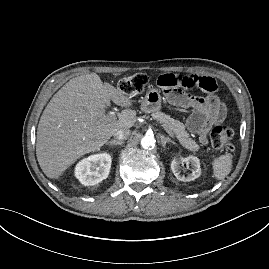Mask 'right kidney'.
<instances>
[{"label":"right kidney","instance_id":"obj_1","mask_svg":"<svg viewBox=\"0 0 269 269\" xmlns=\"http://www.w3.org/2000/svg\"><path fill=\"white\" fill-rule=\"evenodd\" d=\"M111 162L107 153L91 155L76 165L75 176L85 186L96 185L108 177Z\"/></svg>","mask_w":269,"mask_h":269}]
</instances>
